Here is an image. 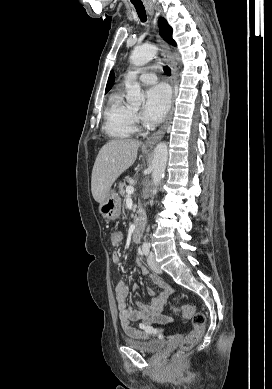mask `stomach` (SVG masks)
Returning a JSON list of instances; mask_svg holds the SVG:
<instances>
[{
	"instance_id": "0dacf381",
	"label": "stomach",
	"mask_w": 272,
	"mask_h": 389,
	"mask_svg": "<svg viewBox=\"0 0 272 389\" xmlns=\"http://www.w3.org/2000/svg\"><path fill=\"white\" fill-rule=\"evenodd\" d=\"M99 213L108 220L119 218L121 199L115 191H110L106 200L99 205Z\"/></svg>"
}]
</instances>
